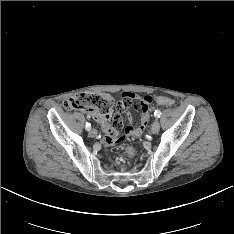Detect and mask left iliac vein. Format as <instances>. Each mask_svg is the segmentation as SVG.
Here are the masks:
<instances>
[{"mask_svg":"<svg viewBox=\"0 0 234 234\" xmlns=\"http://www.w3.org/2000/svg\"><path fill=\"white\" fill-rule=\"evenodd\" d=\"M159 129H160V124L159 121L156 119L151 126L152 134H157L159 132Z\"/></svg>","mask_w":234,"mask_h":234,"instance_id":"left-iliac-vein-1","label":"left iliac vein"}]
</instances>
